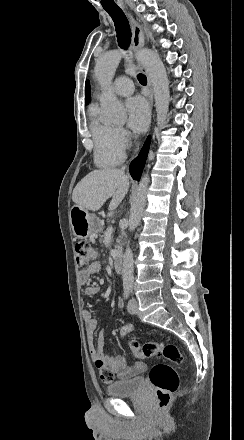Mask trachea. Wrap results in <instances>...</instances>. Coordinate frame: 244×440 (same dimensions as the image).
<instances>
[{
	"instance_id": "obj_1",
	"label": "trachea",
	"mask_w": 244,
	"mask_h": 440,
	"mask_svg": "<svg viewBox=\"0 0 244 440\" xmlns=\"http://www.w3.org/2000/svg\"><path fill=\"white\" fill-rule=\"evenodd\" d=\"M106 12H108L110 17H112V19L114 21L118 45L122 49H128L130 42H131L132 33H131V28H130L129 22H128L125 14L123 13V11L120 8L106 9ZM137 78H138L139 82L141 83V85L147 84V78L142 73H139L137 75Z\"/></svg>"
}]
</instances>
